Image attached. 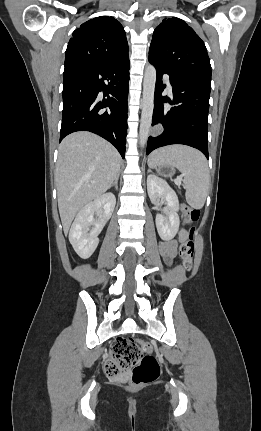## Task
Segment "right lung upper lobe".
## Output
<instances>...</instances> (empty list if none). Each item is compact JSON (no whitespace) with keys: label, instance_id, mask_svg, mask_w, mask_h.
<instances>
[{"label":"right lung upper lobe","instance_id":"1","mask_svg":"<svg viewBox=\"0 0 261 431\" xmlns=\"http://www.w3.org/2000/svg\"><path fill=\"white\" fill-rule=\"evenodd\" d=\"M126 59H129L128 43L122 25L114 17L100 16L73 32L65 53V67L118 63Z\"/></svg>","mask_w":261,"mask_h":431}]
</instances>
